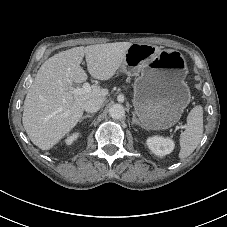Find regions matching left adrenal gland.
Returning a JSON list of instances; mask_svg holds the SVG:
<instances>
[{
	"instance_id": "left-adrenal-gland-1",
	"label": "left adrenal gland",
	"mask_w": 227,
	"mask_h": 227,
	"mask_svg": "<svg viewBox=\"0 0 227 227\" xmlns=\"http://www.w3.org/2000/svg\"><path fill=\"white\" fill-rule=\"evenodd\" d=\"M132 115H133V118H132V123L133 124H139V122H138V120H137V118H136V115H135V113L134 112H132Z\"/></svg>"
}]
</instances>
